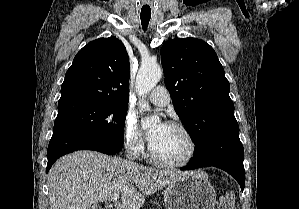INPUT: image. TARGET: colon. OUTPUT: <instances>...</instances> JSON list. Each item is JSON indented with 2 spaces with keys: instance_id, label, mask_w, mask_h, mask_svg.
Listing matches in <instances>:
<instances>
[{
  "instance_id": "1",
  "label": "colon",
  "mask_w": 299,
  "mask_h": 209,
  "mask_svg": "<svg viewBox=\"0 0 299 209\" xmlns=\"http://www.w3.org/2000/svg\"><path fill=\"white\" fill-rule=\"evenodd\" d=\"M218 209H235L233 196L231 194H226L220 200Z\"/></svg>"
}]
</instances>
